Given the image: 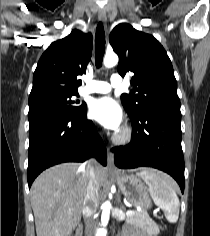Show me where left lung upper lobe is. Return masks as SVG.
<instances>
[{
  "label": "left lung upper lobe",
  "mask_w": 210,
  "mask_h": 236,
  "mask_svg": "<svg viewBox=\"0 0 210 236\" xmlns=\"http://www.w3.org/2000/svg\"><path fill=\"white\" fill-rule=\"evenodd\" d=\"M110 44L119 56L118 72H132V90L121 101L130 117L152 107L180 109L177 82L163 46L152 36L127 23L117 25Z\"/></svg>",
  "instance_id": "obj_1"
}]
</instances>
